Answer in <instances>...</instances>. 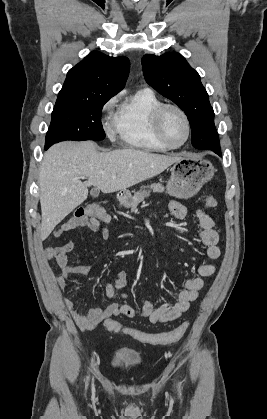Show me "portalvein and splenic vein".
I'll return each mask as SVG.
<instances>
[{
  "label": "portal vein and splenic vein",
  "instance_id": "1",
  "mask_svg": "<svg viewBox=\"0 0 267 419\" xmlns=\"http://www.w3.org/2000/svg\"><path fill=\"white\" fill-rule=\"evenodd\" d=\"M115 177H116L115 175H113V176H112V178H115ZM80 178H81V179H84V178H85V176H81Z\"/></svg>",
  "mask_w": 267,
  "mask_h": 419
}]
</instances>
